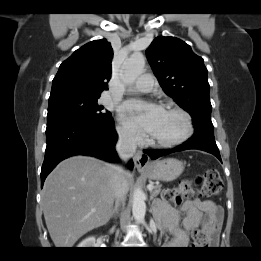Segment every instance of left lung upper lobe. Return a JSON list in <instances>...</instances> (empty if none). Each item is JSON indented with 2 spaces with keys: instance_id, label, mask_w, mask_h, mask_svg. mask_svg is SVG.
Returning <instances> with one entry per match:
<instances>
[{
  "instance_id": "5c2ea615",
  "label": "left lung upper lobe",
  "mask_w": 261,
  "mask_h": 261,
  "mask_svg": "<svg viewBox=\"0 0 261 261\" xmlns=\"http://www.w3.org/2000/svg\"><path fill=\"white\" fill-rule=\"evenodd\" d=\"M148 62L164 92L192 117L196 130L211 129L210 85L201 57L175 37H157L146 50Z\"/></svg>"
}]
</instances>
